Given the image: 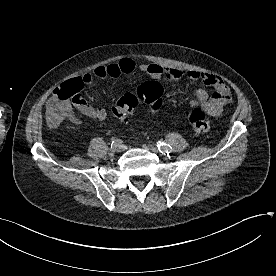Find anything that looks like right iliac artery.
Wrapping results in <instances>:
<instances>
[{
  "instance_id": "obj_1",
  "label": "right iliac artery",
  "mask_w": 276,
  "mask_h": 276,
  "mask_svg": "<svg viewBox=\"0 0 276 276\" xmlns=\"http://www.w3.org/2000/svg\"><path fill=\"white\" fill-rule=\"evenodd\" d=\"M122 146V141L120 139L113 138L111 142V147Z\"/></svg>"
}]
</instances>
